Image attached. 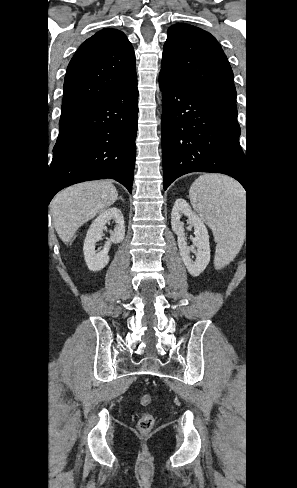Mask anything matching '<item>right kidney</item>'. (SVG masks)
<instances>
[{
  "label": "right kidney",
  "instance_id": "ca27d5eb",
  "mask_svg": "<svg viewBox=\"0 0 297 488\" xmlns=\"http://www.w3.org/2000/svg\"><path fill=\"white\" fill-rule=\"evenodd\" d=\"M113 219L117 226L111 232L110 238L104 245L103 250L96 251L95 244L102 239L105 224ZM125 224L121 210L112 207L102 212L91 224L84 240L83 253L85 262L91 271H99L109 263L108 252L112 243L118 244L124 240Z\"/></svg>",
  "mask_w": 297,
  "mask_h": 488
}]
</instances>
